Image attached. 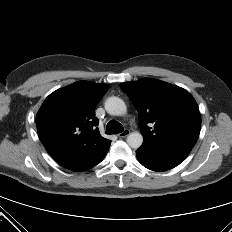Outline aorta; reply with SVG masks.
<instances>
[{"label": "aorta", "instance_id": "762f6f07", "mask_svg": "<svg viewBox=\"0 0 232 232\" xmlns=\"http://www.w3.org/2000/svg\"><path fill=\"white\" fill-rule=\"evenodd\" d=\"M105 110L110 115L121 116L126 113L127 108L121 98L112 96L105 101ZM127 143L131 148L137 149L143 143V136L140 132H132L127 137Z\"/></svg>", "mask_w": 232, "mask_h": 232}]
</instances>
